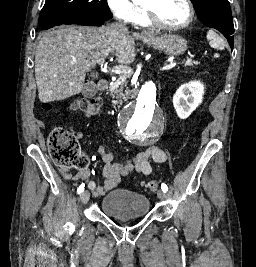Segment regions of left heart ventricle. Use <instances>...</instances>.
I'll return each mask as SVG.
<instances>
[{
  "mask_svg": "<svg viewBox=\"0 0 256 267\" xmlns=\"http://www.w3.org/2000/svg\"><path fill=\"white\" fill-rule=\"evenodd\" d=\"M152 24L156 26L178 25L188 17L187 7L178 0L149 1Z\"/></svg>",
  "mask_w": 256,
  "mask_h": 267,
  "instance_id": "1",
  "label": "left heart ventricle"
}]
</instances>
